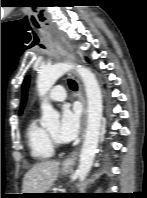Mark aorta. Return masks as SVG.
I'll list each match as a JSON object with an SVG mask.
<instances>
[{"instance_id": "1", "label": "aorta", "mask_w": 147, "mask_h": 198, "mask_svg": "<svg viewBox=\"0 0 147 198\" xmlns=\"http://www.w3.org/2000/svg\"><path fill=\"white\" fill-rule=\"evenodd\" d=\"M71 69H76L84 83L88 104L87 128L77 169L78 177L80 181H83L92 167L101 129L102 94L95 75L91 70L81 65L74 66L70 63H57L41 69L37 79V90L43 101L41 125L50 127L58 123L59 114L47 102L46 95L55 82Z\"/></svg>"}]
</instances>
